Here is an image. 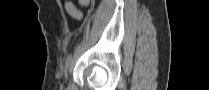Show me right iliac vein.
<instances>
[{
  "mask_svg": "<svg viewBox=\"0 0 209 90\" xmlns=\"http://www.w3.org/2000/svg\"><path fill=\"white\" fill-rule=\"evenodd\" d=\"M70 68H71V63L70 62L66 63V73Z\"/></svg>",
  "mask_w": 209,
  "mask_h": 90,
  "instance_id": "63e3f726",
  "label": "right iliac vein"
}]
</instances>
